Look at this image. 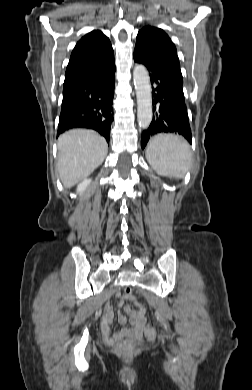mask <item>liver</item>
<instances>
[{"label":"liver","mask_w":252,"mask_h":390,"mask_svg":"<svg viewBox=\"0 0 252 390\" xmlns=\"http://www.w3.org/2000/svg\"><path fill=\"white\" fill-rule=\"evenodd\" d=\"M106 140L93 130L73 129L58 138V172L70 188L87 178L104 161Z\"/></svg>","instance_id":"liver-1"}]
</instances>
